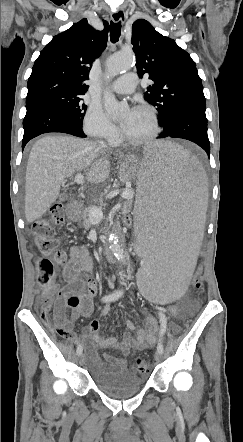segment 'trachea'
<instances>
[{
  "mask_svg": "<svg viewBox=\"0 0 243 442\" xmlns=\"http://www.w3.org/2000/svg\"><path fill=\"white\" fill-rule=\"evenodd\" d=\"M121 34V22H111L110 23V39L111 42L115 43L118 41Z\"/></svg>",
  "mask_w": 243,
  "mask_h": 442,
  "instance_id": "1",
  "label": "trachea"
}]
</instances>
